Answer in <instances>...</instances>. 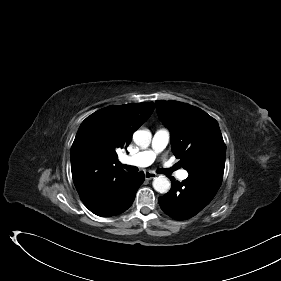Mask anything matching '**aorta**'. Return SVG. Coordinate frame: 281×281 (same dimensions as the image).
Masks as SVG:
<instances>
[{
  "instance_id": "aorta-1",
  "label": "aorta",
  "mask_w": 281,
  "mask_h": 281,
  "mask_svg": "<svg viewBox=\"0 0 281 281\" xmlns=\"http://www.w3.org/2000/svg\"><path fill=\"white\" fill-rule=\"evenodd\" d=\"M152 134L149 130H137L133 134V140L140 148H147L151 143ZM153 188L159 193H167L171 183L165 176H159L153 180Z\"/></svg>"
}]
</instances>
